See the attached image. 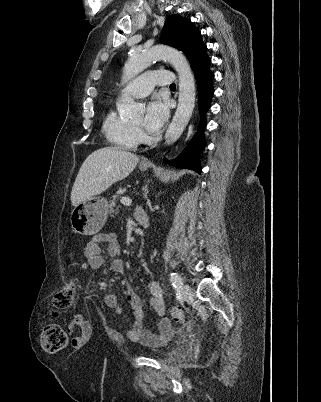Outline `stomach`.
<instances>
[{"label":"stomach","instance_id":"stomach-1","mask_svg":"<svg viewBox=\"0 0 321 402\" xmlns=\"http://www.w3.org/2000/svg\"><path fill=\"white\" fill-rule=\"evenodd\" d=\"M141 171L147 166L140 165ZM108 215V202L105 198L93 196L87 201L75 206L71 213V227L75 233L94 235L104 226Z\"/></svg>","mask_w":321,"mask_h":402}]
</instances>
